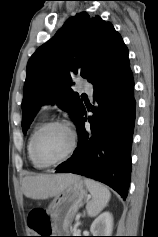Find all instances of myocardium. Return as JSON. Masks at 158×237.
<instances>
[{
    "label": "myocardium",
    "mask_w": 158,
    "mask_h": 237,
    "mask_svg": "<svg viewBox=\"0 0 158 237\" xmlns=\"http://www.w3.org/2000/svg\"><path fill=\"white\" fill-rule=\"evenodd\" d=\"M56 126L63 127L69 132L70 137H71V143H70L69 149L61 158L50 160V161L44 160L38 153L39 139L45 131ZM76 146H77V137L72 127L64 120H52V121L44 123L34 135L33 141H32V155L34 159L36 160V162H38L39 164L45 167L54 166V165H58L60 163L67 161L74 153Z\"/></svg>",
    "instance_id": "obj_1"
}]
</instances>
